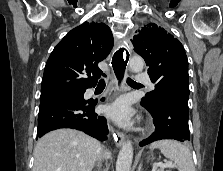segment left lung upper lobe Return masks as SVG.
Listing matches in <instances>:
<instances>
[{"mask_svg": "<svg viewBox=\"0 0 223 171\" xmlns=\"http://www.w3.org/2000/svg\"><path fill=\"white\" fill-rule=\"evenodd\" d=\"M134 51L144 58L155 90L142 99V104L153 107L165 95H173L188 103V60L178 39L155 23L139 30L131 40Z\"/></svg>", "mask_w": 223, "mask_h": 171, "instance_id": "obj_1", "label": "left lung upper lobe"}]
</instances>
